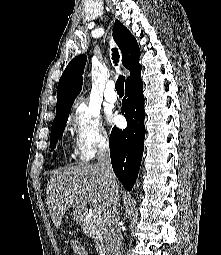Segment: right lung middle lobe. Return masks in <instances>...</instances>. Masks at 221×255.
<instances>
[{"label":"right lung middle lobe","mask_w":221,"mask_h":255,"mask_svg":"<svg viewBox=\"0 0 221 255\" xmlns=\"http://www.w3.org/2000/svg\"><path fill=\"white\" fill-rule=\"evenodd\" d=\"M69 112L70 111L57 114L53 123H52V130H51V135H50L51 150H54V148L56 147L58 138L63 135V131L66 126Z\"/></svg>","instance_id":"dd1d6c3e"}]
</instances>
